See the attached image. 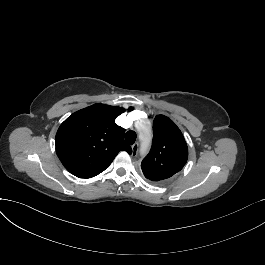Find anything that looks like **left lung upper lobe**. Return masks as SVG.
Segmentation results:
<instances>
[{"label":"left lung upper lobe","instance_id":"5c2ea615","mask_svg":"<svg viewBox=\"0 0 265 265\" xmlns=\"http://www.w3.org/2000/svg\"><path fill=\"white\" fill-rule=\"evenodd\" d=\"M153 131L152 147L141 168L147 179L163 183L186 164L188 147L180 129L164 115L155 117Z\"/></svg>","mask_w":265,"mask_h":265}]
</instances>
